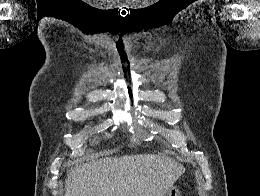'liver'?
<instances>
[{"label":"liver","mask_w":260,"mask_h":196,"mask_svg":"<svg viewBox=\"0 0 260 196\" xmlns=\"http://www.w3.org/2000/svg\"><path fill=\"white\" fill-rule=\"evenodd\" d=\"M183 172L161 154L91 160L68 172L65 196H165Z\"/></svg>","instance_id":"obj_1"}]
</instances>
